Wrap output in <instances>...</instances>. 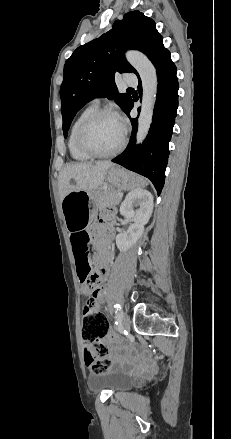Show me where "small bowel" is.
<instances>
[{
    "label": "small bowel",
    "mask_w": 231,
    "mask_h": 439,
    "mask_svg": "<svg viewBox=\"0 0 231 439\" xmlns=\"http://www.w3.org/2000/svg\"><path fill=\"white\" fill-rule=\"evenodd\" d=\"M108 231L112 236V229L109 228ZM108 242L109 238L107 237L104 240V245L100 246L97 252L94 253L92 259H90V241L88 233L85 230L80 229L71 232L70 235L71 249L75 260L77 273L81 266H85L88 263L95 269L94 273L97 277V284H95L91 292V298L87 302L90 310L94 312H99L103 304V289L99 285V283L103 282L106 279V270L103 273H99L98 267L101 263V260H103V262L107 264L111 259L112 251L111 248L108 246ZM105 343L108 345L109 350L114 348L115 342L113 337H107ZM91 351V347H85L84 354ZM150 369L151 366L149 364H143L140 371L141 373H145L148 372Z\"/></svg>",
    "instance_id": "c3829d8e"
}]
</instances>
